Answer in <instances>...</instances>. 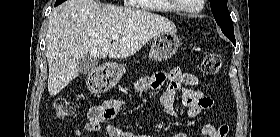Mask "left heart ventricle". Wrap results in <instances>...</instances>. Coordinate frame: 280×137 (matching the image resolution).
I'll return each mask as SVG.
<instances>
[{
    "mask_svg": "<svg viewBox=\"0 0 280 137\" xmlns=\"http://www.w3.org/2000/svg\"><path fill=\"white\" fill-rule=\"evenodd\" d=\"M188 6H195L197 4V0H186Z\"/></svg>",
    "mask_w": 280,
    "mask_h": 137,
    "instance_id": "b2bd125f",
    "label": "left heart ventricle"
}]
</instances>
